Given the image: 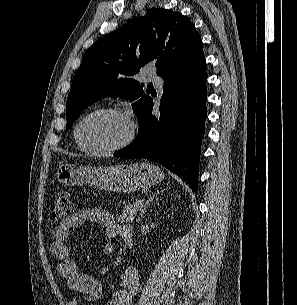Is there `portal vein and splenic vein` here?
Segmentation results:
<instances>
[{
	"instance_id": "18ae733b",
	"label": "portal vein and splenic vein",
	"mask_w": 297,
	"mask_h": 305,
	"mask_svg": "<svg viewBox=\"0 0 297 305\" xmlns=\"http://www.w3.org/2000/svg\"><path fill=\"white\" fill-rule=\"evenodd\" d=\"M142 203H143V200H139V201L137 202V205H138V206H141Z\"/></svg>"
}]
</instances>
